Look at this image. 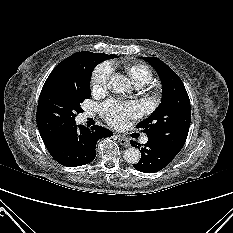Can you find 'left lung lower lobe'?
Listing matches in <instances>:
<instances>
[{"label":"left lung lower lobe","instance_id":"left-lung-lower-lobe-1","mask_svg":"<svg viewBox=\"0 0 233 233\" xmlns=\"http://www.w3.org/2000/svg\"><path fill=\"white\" fill-rule=\"evenodd\" d=\"M131 145L140 148V144L135 141H130ZM141 159L138 163L133 164V167L141 172L153 173L166 167L173 158L177 155L162 144L153 139H148V142L140 150Z\"/></svg>","mask_w":233,"mask_h":233}]
</instances>
